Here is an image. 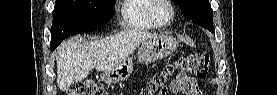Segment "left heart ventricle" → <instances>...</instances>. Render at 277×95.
Instances as JSON below:
<instances>
[{
	"label": "left heart ventricle",
	"instance_id": "b2bd125f",
	"mask_svg": "<svg viewBox=\"0 0 277 95\" xmlns=\"http://www.w3.org/2000/svg\"><path fill=\"white\" fill-rule=\"evenodd\" d=\"M169 13V9L164 5H158L154 8V15L159 20H165Z\"/></svg>",
	"mask_w": 277,
	"mask_h": 95
}]
</instances>
